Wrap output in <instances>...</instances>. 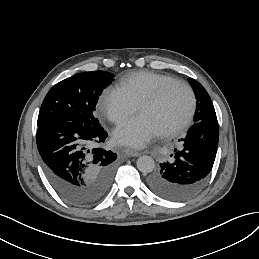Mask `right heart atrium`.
<instances>
[{"instance_id":"d8ad5b80","label":"right heart atrium","mask_w":259,"mask_h":259,"mask_svg":"<svg viewBox=\"0 0 259 259\" xmlns=\"http://www.w3.org/2000/svg\"><path fill=\"white\" fill-rule=\"evenodd\" d=\"M98 104L102 115L112 123H120L138 110V105L115 87L103 89Z\"/></svg>"}]
</instances>
